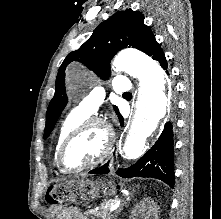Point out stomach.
Instances as JSON below:
<instances>
[{"instance_id":"stomach-1","label":"stomach","mask_w":221,"mask_h":219,"mask_svg":"<svg viewBox=\"0 0 221 219\" xmlns=\"http://www.w3.org/2000/svg\"><path fill=\"white\" fill-rule=\"evenodd\" d=\"M68 183L75 184L64 199H71V204H92L93 199L113 195L116 186L104 178H68Z\"/></svg>"}]
</instances>
